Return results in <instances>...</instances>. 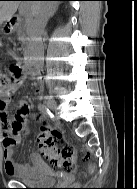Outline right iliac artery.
Returning <instances> with one entry per match:
<instances>
[{
    "mask_svg": "<svg viewBox=\"0 0 137 189\" xmlns=\"http://www.w3.org/2000/svg\"><path fill=\"white\" fill-rule=\"evenodd\" d=\"M38 109L44 114H49L50 112L49 109L44 104L41 103L38 105Z\"/></svg>",
    "mask_w": 137,
    "mask_h": 189,
    "instance_id": "1",
    "label": "right iliac artery"
}]
</instances>
